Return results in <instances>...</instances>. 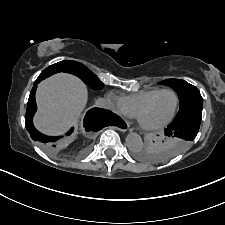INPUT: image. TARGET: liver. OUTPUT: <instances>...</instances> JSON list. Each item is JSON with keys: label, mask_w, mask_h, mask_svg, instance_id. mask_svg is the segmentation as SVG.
I'll use <instances>...</instances> for the list:
<instances>
[{"label": "liver", "mask_w": 225, "mask_h": 225, "mask_svg": "<svg viewBox=\"0 0 225 225\" xmlns=\"http://www.w3.org/2000/svg\"><path fill=\"white\" fill-rule=\"evenodd\" d=\"M87 99L86 85L73 75L59 73L42 81L36 93V128L49 135L64 133L79 117Z\"/></svg>", "instance_id": "liver-1"}]
</instances>
